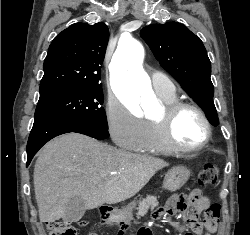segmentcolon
<instances>
[{"mask_svg": "<svg viewBox=\"0 0 250 235\" xmlns=\"http://www.w3.org/2000/svg\"><path fill=\"white\" fill-rule=\"evenodd\" d=\"M219 169L214 164L205 165L199 172L198 184L200 187H207L219 181ZM196 197L193 196L192 200ZM220 205L212 204L203 213V222L206 225H217L220 218ZM85 224V222H82ZM49 235H77V229L65 221H48L45 223Z\"/></svg>", "mask_w": 250, "mask_h": 235, "instance_id": "1", "label": "colon"}]
</instances>
